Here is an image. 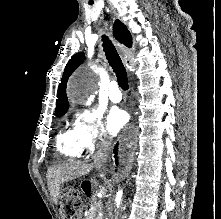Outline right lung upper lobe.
Returning <instances> with one entry per match:
<instances>
[{"mask_svg": "<svg viewBox=\"0 0 221 219\" xmlns=\"http://www.w3.org/2000/svg\"><path fill=\"white\" fill-rule=\"evenodd\" d=\"M114 35L122 44L127 47L132 46V36L127 28L119 20L114 23ZM84 53H77L69 60L65 67L61 83L58 87L57 101H56V115L66 112L69 103L66 95V83L69 76L77 69V67L84 61Z\"/></svg>", "mask_w": 221, "mask_h": 219, "instance_id": "obj_1", "label": "right lung upper lobe"}]
</instances>
